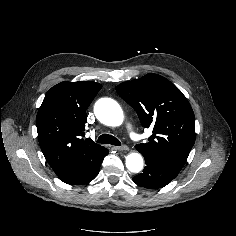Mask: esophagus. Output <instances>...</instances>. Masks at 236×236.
Segmentation results:
<instances>
[{
  "instance_id": "34e87169",
  "label": "esophagus",
  "mask_w": 236,
  "mask_h": 236,
  "mask_svg": "<svg viewBox=\"0 0 236 236\" xmlns=\"http://www.w3.org/2000/svg\"><path fill=\"white\" fill-rule=\"evenodd\" d=\"M114 149L118 150V151H127L129 150L128 146H115Z\"/></svg>"
}]
</instances>
